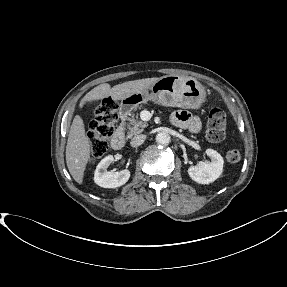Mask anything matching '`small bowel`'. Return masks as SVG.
<instances>
[{
    "mask_svg": "<svg viewBox=\"0 0 287 287\" xmlns=\"http://www.w3.org/2000/svg\"><path fill=\"white\" fill-rule=\"evenodd\" d=\"M171 120L175 126L187 129L191 132H198L201 128L200 120L187 111L174 112Z\"/></svg>",
    "mask_w": 287,
    "mask_h": 287,
    "instance_id": "c3829d8e",
    "label": "small bowel"
}]
</instances>
